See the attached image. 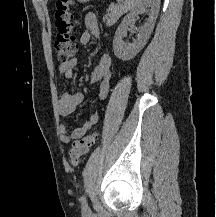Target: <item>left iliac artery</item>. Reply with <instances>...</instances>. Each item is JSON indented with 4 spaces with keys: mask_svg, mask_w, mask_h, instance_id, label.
Segmentation results:
<instances>
[{
    "mask_svg": "<svg viewBox=\"0 0 216 217\" xmlns=\"http://www.w3.org/2000/svg\"><path fill=\"white\" fill-rule=\"evenodd\" d=\"M80 201H81L82 206L84 208H87V201H86V197L84 195L80 198Z\"/></svg>",
    "mask_w": 216,
    "mask_h": 217,
    "instance_id": "obj_1",
    "label": "left iliac artery"
}]
</instances>
